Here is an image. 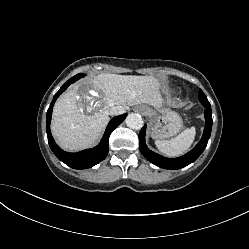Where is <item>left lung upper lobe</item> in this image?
<instances>
[{"mask_svg":"<svg viewBox=\"0 0 249 249\" xmlns=\"http://www.w3.org/2000/svg\"><path fill=\"white\" fill-rule=\"evenodd\" d=\"M203 95H204L203 91H202V90H199V97H200V96H203Z\"/></svg>","mask_w":249,"mask_h":249,"instance_id":"obj_1","label":"left lung upper lobe"}]
</instances>
